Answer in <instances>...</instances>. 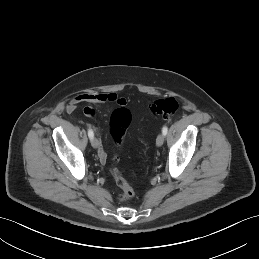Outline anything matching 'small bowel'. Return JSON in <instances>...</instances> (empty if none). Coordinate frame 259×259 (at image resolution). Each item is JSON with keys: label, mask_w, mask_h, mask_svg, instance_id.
Wrapping results in <instances>:
<instances>
[{"label": "small bowel", "mask_w": 259, "mask_h": 259, "mask_svg": "<svg viewBox=\"0 0 259 259\" xmlns=\"http://www.w3.org/2000/svg\"><path fill=\"white\" fill-rule=\"evenodd\" d=\"M91 103L94 105H103L106 103H113L116 104L119 107H125L127 105V101L125 98L117 95L116 93L113 92H108V93H80L76 95L70 103L67 105V111L68 112H73L77 105L79 103ZM84 114L87 117H92L94 116V110L93 108L86 106L84 108ZM94 129L99 132L98 126H94ZM99 142V141H98ZM98 159L101 163H105L107 160V153L102 146V144H99L98 146Z\"/></svg>", "instance_id": "small-bowel-1"}]
</instances>
